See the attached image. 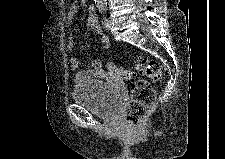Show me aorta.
<instances>
[{
  "instance_id": "aorta-1",
  "label": "aorta",
  "mask_w": 225,
  "mask_h": 159,
  "mask_svg": "<svg viewBox=\"0 0 225 159\" xmlns=\"http://www.w3.org/2000/svg\"><path fill=\"white\" fill-rule=\"evenodd\" d=\"M95 4L98 7H105L107 5V1L106 0H95Z\"/></svg>"
}]
</instances>
